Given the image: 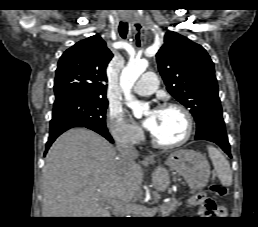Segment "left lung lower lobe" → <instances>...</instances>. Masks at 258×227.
Masks as SVG:
<instances>
[{
	"label": "left lung lower lobe",
	"mask_w": 258,
	"mask_h": 227,
	"mask_svg": "<svg viewBox=\"0 0 258 227\" xmlns=\"http://www.w3.org/2000/svg\"><path fill=\"white\" fill-rule=\"evenodd\" d=\"M196 140H208L219 145L224 152L231 157L230 145L228 142L227 134L225 129L212 128L207 130L205 133L200 136L195 137Z\"/></svg>",
	"instance_id": "obj_1"
}]
</instances>
